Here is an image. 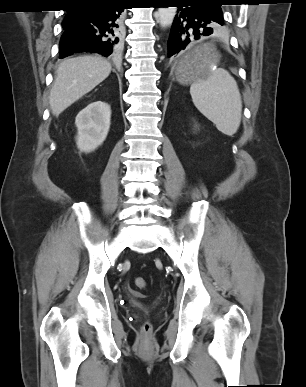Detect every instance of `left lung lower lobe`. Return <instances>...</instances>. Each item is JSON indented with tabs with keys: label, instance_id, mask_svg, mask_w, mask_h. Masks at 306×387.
I'll use <instances>...</instances> for the list:
<instances>
[{
	"label": "left lung lower lobe",
	"instance_id": "left-lung-lower-lobe-1",
	"mask_svg": "<svg viewBox=\"0 0 306 387\" xmlns=\"http://www.w3.org/2000/svg\"><path fill=\"white\" fill-rule=\"evenodd\" d=\"M178 4L168 40V56H175L194 40L213 33L224 24L220 0H166Z\"/></svg>",
	"mask_w": 306,
	"mask_h": 387
}]
</instances>
